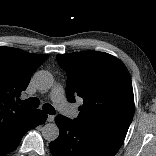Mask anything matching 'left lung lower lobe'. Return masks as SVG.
I'll use <instances>...</instances> for the list:
<instances>
[{
	"instance_id": "obj_1",
	"label": "left lung lower lobe",
	"mask_w": 156,
	"mask_h": 156,
	"mask_svg": "<svg viewBox=\"0 0 156 156\" xmlns=\"http://www.w3.org/2000/svg\"><path fill=\"white\" fill-rule=\"evenodd\" d=\"M55 122L60 134L50 143L53 156H114L123 142L109 133L80 127L62 115Z\"/></svg>"
}]
</instances>
